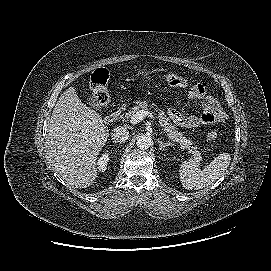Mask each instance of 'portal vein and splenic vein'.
Here are the masks:
<instances>
[{
    "mask_svg": "<svg viewBox=\"0 0 271 271\" xmlns=\"http://www.w3.org/2000/svg\"><path fill=\"white\" fill-rule=\"evenodd\" d=\"M146 116L150 117L152 120L155 121V117L152 115V113L145 111V110H140L132 116L131 123L136 124V123L140 122L142 119H144ZM156 125H158V124H156ZM158 128H159V131H161L159 125H158Z\"/></svg>",
    "mask_w": 271,
    "mask_h": 271,
    "instance_id": "obj_1",
    "label": "portal vein and splenic vein"
}]
</instances>
